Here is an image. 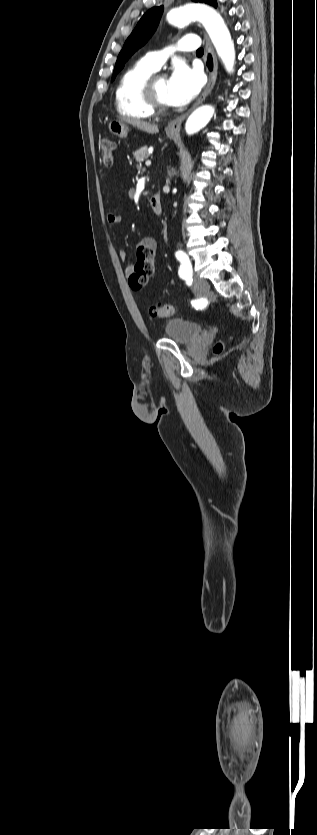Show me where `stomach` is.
I'll return each instance as SVG.
<instances>
[{"instance_id": "obj_1", "label": "stomach", "mask_w": 317, "mask_h": 835, "mask_svg": "<svg viewBox=\"0 0 317 835\" xmlns=\"http://www.w3.org/2000/svg\"><path fill=\"white\" fill-rule=\"evenodd\" d=\"M108 130L111 134H113L117 137H120V138H124V137L127 136V132L129 130V127H128L127 123H125L122 120H112L108 124ZM166 135L169 138L173 139L177 135V133H173V132L166 129Z\"/></svg>"}]
</instances>
